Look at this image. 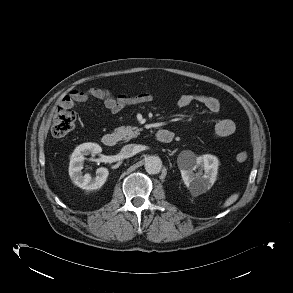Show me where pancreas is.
I'll return each mask as SVG.
<instances>
[{
	"label": "pancreas",
	"mask_w": 293,
	"mask_h": 293,
	"mask_svg": "<svg viewBox=\"0 0 293 293\" xmlns=\"http://www.w3.org/2000/svg\"><path fill=\"white\" fill-rule=\"evenodd\" d=\"M115 132L121 139L130 140L139 135L140 129L138 127H132V126H127V127L121 126L116 128Z\"/></svg>",
	"instance_id": "cf45deb5"
}]
</instances>
